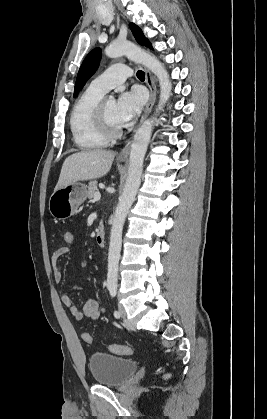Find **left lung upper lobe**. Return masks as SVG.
<instances>
[{"label": "left lung upper lobe", "mask_w": 267, "mask_h": 419, "mask_svg": "<svg viewBox=\"0 0 267 419\" xmlns=\"http://www.w3.org/2000/svg\"><path fill=\"white\" fill-rule=\"evenodd\" d=\"M130 29L133 32L134 37L136 38L137 42L142 45L149 48H152L150 42L148 39L143 35L142 30L135 25L134 23H130ZM101 59V49L95 48L93 49L84 59L78 75L76 79L75 84V91H80L86 81L93 75V73L96 71V69L99 66V62ZM76 96V93L74 94V97Z\"/></svg>", "instance_id": "5c2ea615"}]
</instances>
